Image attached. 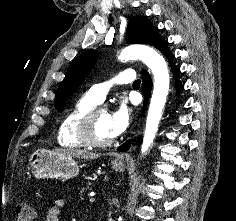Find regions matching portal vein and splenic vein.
I'll use <instances>...</instances> for the list:
<instances>
[{"label": "portal vein and splenic vein", "mask_w": 236, "mask_h": 221, "mask_svg": "<svg viewBox=\"0 0 236 221\" xmlns=\"http://www.w3.org/2000/svg\"><path fill=\"white\" fill-rule=\"evenodd\" d=\"M89 201L92 203V202H95V198L94 197H91L90 199H89Z\"/></svg>", "instance_id": "obj_1"}]
</instances>
